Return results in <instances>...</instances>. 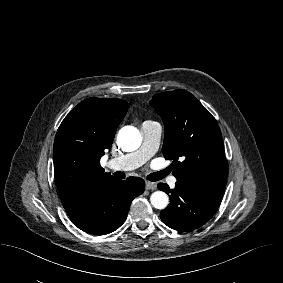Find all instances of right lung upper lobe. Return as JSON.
<instances>
[{
	"label": "right lung upper lobe",
	"mask_w": 283,
	"mask_h": 283,
	"mask_svg": "<svg viewBox=\"0 0 283 283\" xmlns=\"http://www.w3.org/2000/svg\"><path fill=\"white\" fill-rule=\"evenodd\" d=\"M129 104L125 100L91 97L80 102L60 124L54 141V173L68 214L97 187L114 177L100 165Z\"/></svg>",
	"instance_id": "right-lung-upper-lobe-1"
}]
</instances>
